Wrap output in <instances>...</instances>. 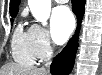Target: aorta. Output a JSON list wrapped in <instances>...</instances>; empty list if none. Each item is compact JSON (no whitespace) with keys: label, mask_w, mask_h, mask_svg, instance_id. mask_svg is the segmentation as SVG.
Wrapping results in <instances>:
<instances>
[{"label":"aorta","mask_w":102,"mask_h":75,"mask_svg":"<svg viewBox=\"0 0 102 75\" xmlns=\"http://www.w3.org/2000/svg\"><path fill=\"white\" fill-rule=\"evenodd\" d=\"M28 5L34 18L47 25V20L51 11V0H28Z\"/></svg>","instance_id":"aorta-1"}]
</instances>
